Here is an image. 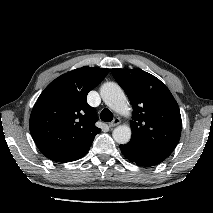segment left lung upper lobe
Instances as JSON below:
<instances>
[{
	"label": "left lung upper lobe",
	"mask_w": 213,
	"mask_h": 213,
	"mask_svg": "<svg viewBox=\"0 0 213 213\" xmlns=\"http://www.w3.org/2000/svg\"><path fill=\"white\" fill-rule=\"evenodd\" d=\"M132 106V136L129 143L168 157L179 142L181 115L169 89L141 69H111Z\"/></svg>",
	"instance_id": "obj_1"
}]
</instances>
